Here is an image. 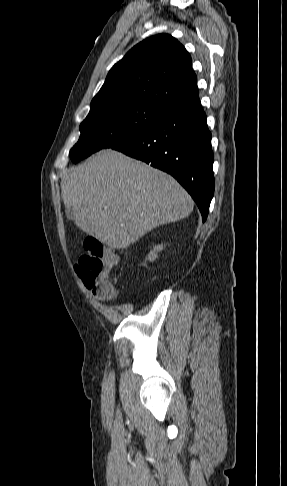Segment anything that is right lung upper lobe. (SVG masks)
Returning <instances> with one entry per match:
<instances>
[{
    "mask_svg": "<svg viewBox=\"0 0 287 486\" xmlns=\"http://www.w3.org/2000/svg\"><path fill=\"white\" fill-rule=\"evenodd\" d=\"M198 96L189 53L171 35L159 34L138 43L111 68L91 108L149 102L172 109Z\"/></svg>",
    "mask_w": 287,
    "mask_h": 486,
    "instance_id": "right-lung-upper-lobe-1",
    "label": "right lung upper lobe"
}]
</instances>
